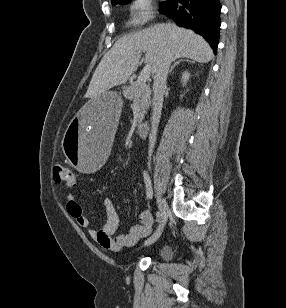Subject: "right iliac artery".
<instances>
[{
  "instance_id": "obj_1",
  "label": "right iliac artery",
  "mask_w": 286,
  "mask_h": 308,
  "mask_svg": "<svg viewBox=\"0 0 286 308\" xmlns=\"http://www.w3.org/2000/svg\"><path fill=\"white\" fill-rule=\"evenodd\" d=\"M143 178H144V182H145V186H146L147 197L149 199H151L152 195H153V191H152L150 177H149V175H148V173L146 171H143ZM156 218H157V221H160L161 213L159 211L156 213Z\"/></svg>"
}]
</instances>
